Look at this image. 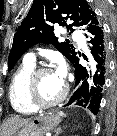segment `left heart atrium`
I'll return each instance as SVG.
<instances>
[{
	"mask_svg": "<svg viewBox=\"0 0 117 136\" xmlns=\"http://www.w3.org/2000/svg\"><path fill=\"white\" fill-rule=\"evenodd\" d=\"M56 75L64 80V77H65V68H64V65L63 64H60V66L58 67V69L55 71Z\"/></svg>",
	"mask_w": 117,
	"mask_h": 136,
	"instance_id": "obj_1",
	"label": "left heart atrium"
}]
</instances>
